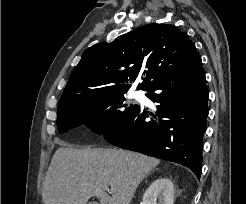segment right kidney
Segmentation results:
<instances>
[{"label": "right kidney", "instance_id": "right-kidney-1", "mask_svg": "<svg viewBox=\"0 0 246 204\" xmlns=\"http://www.w3.org/2000/svg\"><path fill=\"white\" fill-rule=\"evenodd\" d=\"M144 204H174V185L165 178L156 179L143 195Z\"/></svg>", "mask_w": 246, "mask_h": 204}]
</instances>
